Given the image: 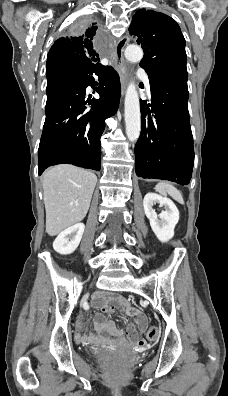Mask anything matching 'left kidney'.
I'll return each mask as SVG.
<instances>
[{
    "instance_id": "left-kidney-1",
    "label": "left kidney",
    "mask_w": 228,
    "mask_h": 396,
    "mask_svg": "<svg viewBox=\"0 0 228 396\" xmlns=\"http://www.w3.org/2000/svg\"><path fill=\"white\" fill-rule=\"evenodd\" d=\"M156 203L164 207L165 211L157 214L153 208ZM143 206L156 237L161 242L169 241L174 236V229L179 221V211L176 205L168 198L155 193H148L144 197Z\"/></svg>"
}]
</instances>
